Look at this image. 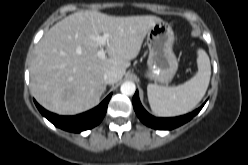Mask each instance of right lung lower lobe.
<instances>
[{"label":"right lung lower lobe","mask_w":248,"mask_h":165,"mask_svg":"<svg viewBox=\"0 0 248 165\" xmlns=\"http://www.w3.org/2000/svg\"><path fill=\"white\" fill-rule=\"evenodd\" d=\"M111 95L112 94L107 96V98L99 106L95 107L94 109L88 112L76 116H59L48 112L47 110L42 108L36 101L34 102L41 114L46 117L51 123H53L56 127L70 132L79 133L81 131L95 127L102 121L107 111V106Z\"/></svg>","instance_id":"98d812e1"}]
</instances>
